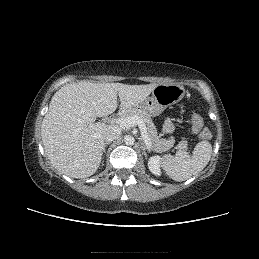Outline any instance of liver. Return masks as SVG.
Instances as JSON below:
<instances>
[{"mask_svg": "<svg viewBox=\"0 0 259 259\" xmlns=\"http://www.w3.org/2000/svg\"><path fill=\"white\" fill-rule=\"evenodd\" d=\"M156 83L128 85L80 81L61 87L52 97L42 125L45 153L52 165L73 178L93 175L104 149V123L97 117L113 113L120 107L132 109L145 100Z\"/></svg>", "mask_w": 259, "mask_h": 259, "instance_id": "obj_1", "label": "liver"}]
</instances>
